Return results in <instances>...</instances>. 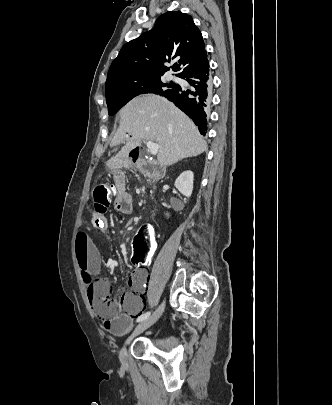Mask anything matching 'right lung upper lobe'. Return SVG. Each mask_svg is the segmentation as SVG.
<instances>
[{
    "label": "right lung upper lobe",
    "mask_w": 332,
    "mask_h": 405,
    "mask_svg": "<svg viewBox=\"0 0 332 405\" xmlns=\"http://www.w3.org/2000/svg\"><path fill=\"white\" fill-rule=\"evenodd\" d=\"M175 58L178 76L207 59L201 32L181 11L164 13L154 28L121 48L109 68L106 89L127 78L163 75L170 70L165 63Z\"/></svg>",
    "instance_id": "right-lung-upper-lobe-1"
}]
</instances>
